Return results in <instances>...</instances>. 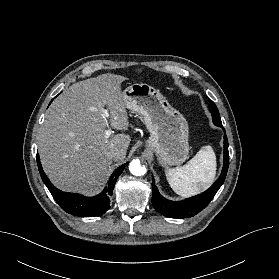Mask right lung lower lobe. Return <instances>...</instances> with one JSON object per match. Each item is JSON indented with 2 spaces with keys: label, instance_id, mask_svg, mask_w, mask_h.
<instances>
[{
  "label": "right lung lower lobe",
  "instance_id": "right-lung-lower-lobe-1",
  "mask_svg": "<svg viewBox=\"0 0 279 279\" xmlns=\"http://www.w3.org/2000/svg\"><path fill=\"white\" fill-rule=\"evenodd\" d=\"M37 163L43 182L45 183L59 206L65 212L80 217L99 216L104 214L109 209V196L112 195L114 185L119 175L128 164H123L115 170V172L110 177L108 187H106L99 195L94 197H85L79 194L63 192L54 187L47 178L46 174L43 172L38 155Z\"/></svg>",
  "mask_w": 279,
  "mask_h": 279
}]
</instances>
